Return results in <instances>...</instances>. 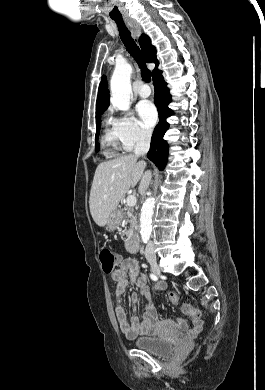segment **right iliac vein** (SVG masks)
I'll return each instance as SVG.
<instances>
[{
    "label": "right iliac vein",
    "instance_id": "1",
    "mask_svg": "<svg viewBox=\"0 0 265 390\" xmlns=\"http://www.w3.org/2000/svg\"><path fill=\"white\" fill-rule=\"evenodd\" d=\"M147 261L151 266V270L154 274L159 275L160 274V267L157 263V259L155 256H147Z\"/></svg>",
    "mask_w": 265,
    "mask_h": 390
}]
</instances>
